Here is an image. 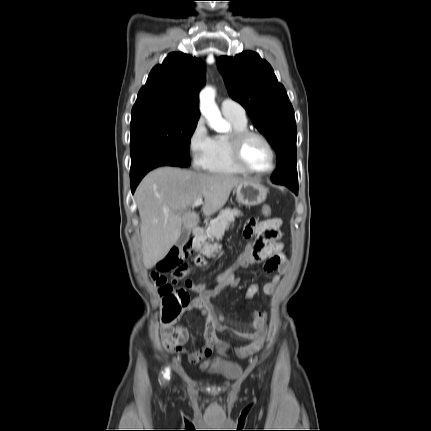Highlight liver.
I'll use <instances>...</instances> for the list:
<instances>
[{
  "label": "liver",
  "instance_id": "6515ba94",
  "mask_svg": "<svg viewBox=\"0 0 431 431\" xmlns=\"http://www.w3.org/2000/svg\"><path fill=\"white\" fill-rule=\"evenodd\" d=\"M245 180L173 167L148 173L135 192L144 267L151 269L162 260L182 229L190 231L198 225L197 213L188 210L198 198H204L202 212L210 217L226 204L232 189Z\"/></svg>",
  "mask_w": 431,
  "mask_h": 431
}]
</instances>
